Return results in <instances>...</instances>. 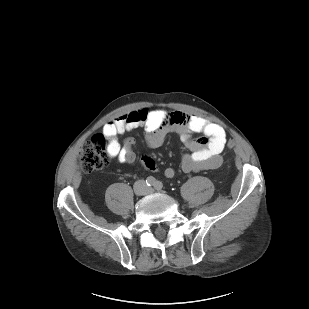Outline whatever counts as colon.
<instances>
[{
  "label": "colon",
  "instance_id": "colon-1",
  "mask_svg": "<svg viewBox=\"0 0 309 309\" xmlns=\"http://www.w3.org/2000/svg\"><path fill=\"white\" fill-rule=\"evenodd\" d=\"M235 145V140L230 138L229 147ZM109 163V155L106 148V137L103 134L95 135L86 142L79 152V167L85 173H91L103 169Z\"/></svg>",
  "mask_w": 309,
  "mask_h": 309
}]
</instances>
